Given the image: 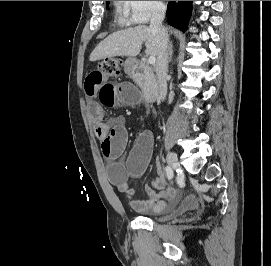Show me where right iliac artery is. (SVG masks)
<instances>
[{
  "instance_id": "right-iliac-artery-1",
  "label": "right iliac artery",
  "mask_w": 271,
  "mask_h": 266,
  "mask_svg": "<svg viewBox=\"0 0 271 266\" xmlns=\"http://www.w3.org/2000/svg\"><path fill=\"white\" fill-rule=\"evenodd\" d=\"M165 171H166V175L168 177V179H172L173 178V170L171 167L167 166L165 167Z\"/></svg>"
}]
</instances>
